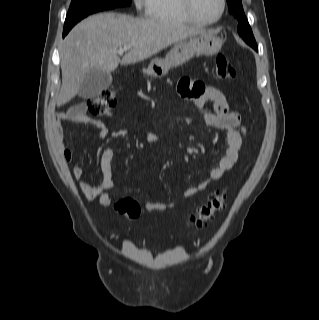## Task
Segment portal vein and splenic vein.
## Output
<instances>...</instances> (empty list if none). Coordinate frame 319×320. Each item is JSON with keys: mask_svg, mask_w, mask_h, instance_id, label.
<instances>
[{"mask_svg": "<svg viewBox=\"0 0 319 320\" xmlns=\"http://www.w3.org/2000/svg\"><path fill=\"white\" fill-rule=\"evenodd\" d=\"M132 48V46L131 45H128V46H124L123 48H120L119 50H118V53H124L125 51H127V50H129V49H131Z\"/></svg>", "mask_w": 319, "mask_h": 320, "instance_id": "portal-vein-and-splenic-vein-1", "label": "portal vein and splenic vein"}]
</instances>
